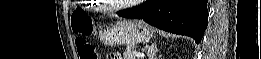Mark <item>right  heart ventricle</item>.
<instances>
[{
    "mask_svg": "<svg viewBox=\"0 0 261 59\" xmlns=\"http://www.w3.org/2000/svg\"><path fill=\"white\" fill-rule=\"evenodd\" d=\"M92 8H94L95 10H99L100 9V7H93V6H92Z\"/></svg>",
    "mask_w": 261,
    "mask_h": 59,
    "instance_id": "e07e8e85",
    "label": "right heart ventricle"
}]
</instances>
